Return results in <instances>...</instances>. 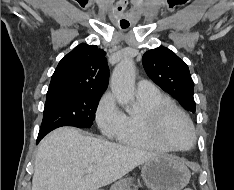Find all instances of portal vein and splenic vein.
Segmentation results:
<instances>
[{"label": "portal vein and splenic vein", "instance_id": "portal-vein-and-splenic-vein-1", "mask_svg": "<svg viewBox=\"0 0 234 190\" xmlns=\"http://www.w3.org/2000/svg\"><path fill=\"white\" fill-rule=\"evenodd\" d=\"M94 170V166H90L85 170V173L89 174Z\"/></svg>", "mask_w": 234, "mask_h": 190}]
</instances>
